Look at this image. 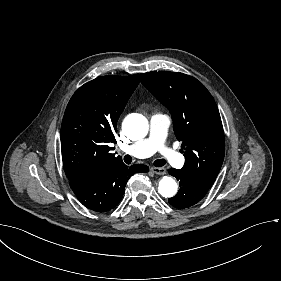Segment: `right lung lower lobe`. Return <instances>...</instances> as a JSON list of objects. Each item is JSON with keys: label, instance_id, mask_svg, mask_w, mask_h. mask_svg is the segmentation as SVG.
Returning <instances> with one entry per match:
<instances>
[{"label": "right lung lower lobe", "instance_id": "98d812e1", "mask_svg": "<svg viewBox=\"0 0 281 281\" xmlns=\"http://www.w3.org/2000/svg\"><path fill=\"white\" fill-rule=\"evenodd\" d=\"M145 165H118L109 168L95 177L70 183L78 200L96 212H106L114 208L122 199L126 183L137 172H148Z\"/></svg>", "mask_w": 281, "mask_h": 281}]
</instances>
